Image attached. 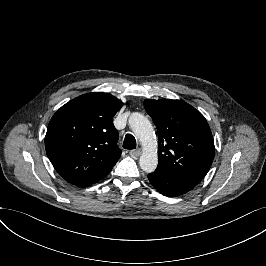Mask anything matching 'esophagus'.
I'll return each instance as SVG.
<instances>
[{"label": "esophagus", "instance_id": "obj_1", "mask_svg": "<svg viewBox=\"0 0 266 266\" xmlns=\"http://www.w3.org/2000/svg\"><path fill=\"white\" fill-rule=\"evenodd\" d=\"M140 150L139 149H137V150H131L130 151V155L132 156V157H139V155H140Z\"/></svg>", "mask_w": 266, "mask_h": 266}]
</instances>
